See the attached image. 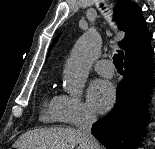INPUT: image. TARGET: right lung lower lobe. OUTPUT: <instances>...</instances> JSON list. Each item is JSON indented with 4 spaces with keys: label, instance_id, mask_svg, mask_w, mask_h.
I'll use <instances>...</instances> for the list:
<instances>
[{
    "label": "right lung lower lobe",
    "instance_id": "obj_1",
    "mask_svg": "<svg viewBox=\"0 0 155 149\" xmlns=\"http://www.w3.org/2000/svg\"><path fill=\"white\" fill-rule=\"evenodd\" d=\"M115 107L92 126V134L108 149H136L149 117L146 107L155 84L152 56L124 63Z\"/></svg>",
    "mask_w": 155,
    "mask_h": 149
}]
</instances>
